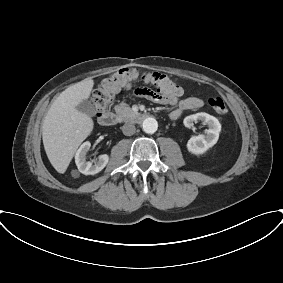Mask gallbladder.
Masks as SVG:
<instances>
[{
	"instance_id": "bac80fb5",
	"label": "gallbladder",
	"mask_w": 283,
	"mask_h": 283,
	"mask_svg": "<svg viewBox=\"0 0 283 283\" xmlns=\"http://www.w3.org/2000/svg\"><path fill=\"white\" fill-rule=\"evenodd\" d=\"M76 108L78 111L88 116H93L95 114V106L88 100L82 101Z\"/></svg>"
}]
</instances>
